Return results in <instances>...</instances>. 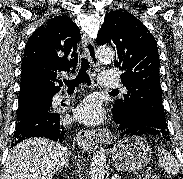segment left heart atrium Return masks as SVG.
Instances as JSON below:
<instances>
[{
	"instance_id": "left-heart-atrium-1",
	"label": "left heart atrium",
	"mask_w": 183,
	"mask_h": 179,
	"mask_svg": "<svg viewBox=\"0 0 183 179\" xmlns=\"http://www.w3.org/2000/svg\"><path fill=\"white\" fill-rule=\"evenodd\" d=\"M103 115L101 104L93 97L83 100L74 111V118L85 124H98Z\"/></svg>"
}]
</instances>
